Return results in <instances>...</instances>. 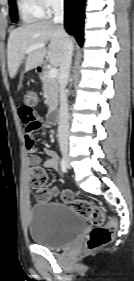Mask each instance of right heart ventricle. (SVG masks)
<instances>
[{
	"mask_svg": "<svg viewBox=\"0 0 134 281\" xmlns=\"http://www.w3.org/2000/svg\"><path fill=\"white\" fill-rule=\"evenodd\" d=\"M17 6L22 20L26 23L40 20L45 16L38 0H17Z\"/></svg>",
	"mask_w": 134,
	"mask_h": 281,
	"instance_id": "right-heart-ventricle-1",
	"label": "right heart ventricle"
}]
</instances>
